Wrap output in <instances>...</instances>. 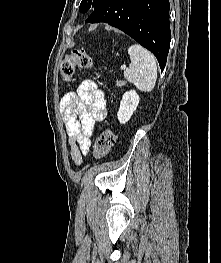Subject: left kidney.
<instances>
[{"instance_id": "5707ae66", "label": "left kidney", "mask_w": 221, "mask_h": 263, "mask_svg": "<svg viewBox=\"0 0 221 263\" xmlns=\"http://www.w3.org/2000/svg\"><path fill=\"white\" fill-rule=\"evenodd\" d=\"M139 95L135 90H130L124 93L120 102V107L117 113L118 120L121 124L128 122L139 104Z\"/></svg>"}]
</instances>
